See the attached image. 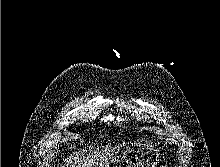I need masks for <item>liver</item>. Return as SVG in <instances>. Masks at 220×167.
I'll return each instance as SVG.
<instances>
[{"label": "liver", "instance_id": "1", "mask_svg": "<svg viewBox=\"0 0 220 167\" xmlns=\"http://www.w3.org/2000/svg\"><path fill=\"white\" fill-rule=\"evenodd\" d=\"M117 147L91 148L74 153L62 167H108Z\"/></svg>", "mask_w": 220, "mask_h": 167}]
</instances>
